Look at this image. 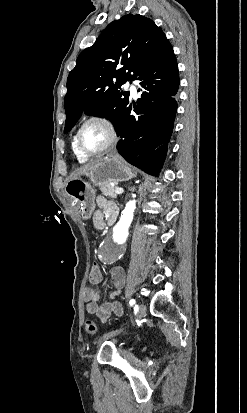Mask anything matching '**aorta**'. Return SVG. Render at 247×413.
I'll return each mask as SVG.
<instances>
[{"instance_id":"1","label":"aorta","mask_w":247,"mask_h":413,"mask_svg":"<svg viewBox=\"0 0 247 413\" xmlns=\"http://www.w3.org/2000/svg\"><path fill=\"white\" fill-rule=\"evenodd\" d=\"M136 201L130 200L126 203L124 210L121 213L119 222L114 227L115 239L119 242H124L128 236V229L133 220Z\"/></svg>"}]
</instances>
